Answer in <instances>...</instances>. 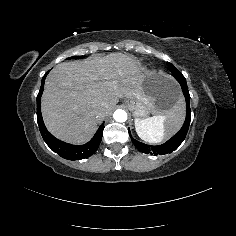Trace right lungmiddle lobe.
Here are the masks:
<instances>
[{
	"label": "right lung middle lobe",
	"mask_w": 236,
	"mask_h": 236,
	"mask_svg": "<svg viewBox=\"0 0 236 236\" xmlns=\"http://www.w3.org/2000/svg\"><path fill=\"white\" fill-rule=\"evenodd\" d=\"M71 58L79 59V58H82V56H75V57H71ZM71 58H69V59H71Z\"/></svg>",
	"instance_id": "right-lung-middle-lobe-1"
}]
</instances>
